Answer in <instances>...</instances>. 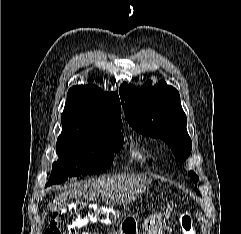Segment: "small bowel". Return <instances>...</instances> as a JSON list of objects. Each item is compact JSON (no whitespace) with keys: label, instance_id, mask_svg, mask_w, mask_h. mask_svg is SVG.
I'll return each mask as SVG.
<instances>
[{"label":"small bowel","instance_id":"obj_1","mask_svg":"<svg viewBox=\"0 0 241 234\" xmlns=\"http://www.w3.org/2000/svg\"><path fill=\"white\" fill-rule=\"evenodd\" d=\"M81 234H93L90 231H83ZM111 234H118V232H112Z\"/></svg>","mask_w":241,"mask_h":234}]
</instances>
